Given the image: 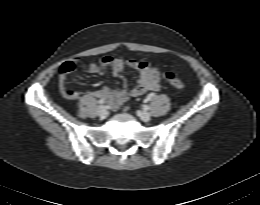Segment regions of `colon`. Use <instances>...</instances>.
<instances>
[{"label":"colon","instance_id":"1","mask_svg":"<svg viewBox=\"0 0 260 205\" xmlns=\"http://www.w3.org/2000/svg\"><path fill=\"white\" fill-rule=\"evenodd\" d=\"M164 76L171 86L177 89H183L185 87V83L174 72L166 71Z\"/></svg>","mask_w":260,"mask_h":205}]
</instances>
